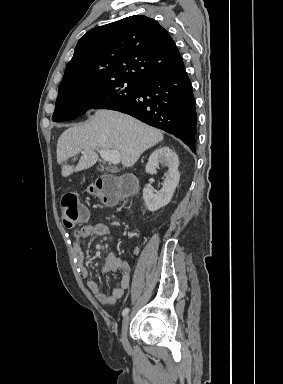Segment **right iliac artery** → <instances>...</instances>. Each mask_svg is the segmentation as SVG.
I'll use <instances>...</instances> for the list:
<instances>
[{
	"instance_id": "right-iliac-artery-1",
	"label": "right iliac artery",
	"mask_w": 283,
	"mask_h": 384,
	"mask_svg": "<svg viewBox=\"0 0 283 384\" xmlns=\"http://www.w3.org/2000/svg\"><path fill=\"white\" fill-rule=\"evenodd\" d=\"M129 308H125L123 311H122V316H126L128 313H129Z\"/></svg>"
}]
</instances>
